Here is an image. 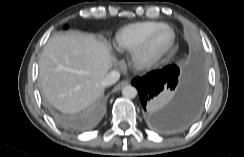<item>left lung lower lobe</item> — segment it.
I'll list each match as a JSON object with an SVG mask.
<instances>
[{
  "label": "left lung lower lobe",
  "instance_id": "0a47b994",
  "mask_svg": "<svg viewBox=\"0 0 244 157\" xmlns=\"http://www.w3.org/2000/svg\"><path fill=\"white\" fill-rule=\"evenodd\" d=\"M146 112V122L160 132L189 127L198 117L205 94L200 66L190 65L180 73L169 65L132 80Z\"/></svg>",
  "mask_w": 244,
  "mask_h": 157
}]
</instances>
